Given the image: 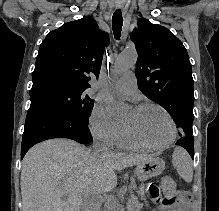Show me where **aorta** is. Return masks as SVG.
Listing matches in <instances>:
<instances>
[{
  "mask_svg": "<svg viewBox=\"0 0 219 211\" xmlns=\"http://www.w3.org/2000/svg\"><path fill=\"white\" fill-rule=\"evenodd\" d=\"M137 61V53L135 50L126 49L116 59L114 71L116 73H123L133 67ZM107 108L109 114L113 118H119L126 113L128 106L118 101L114 95L108 93ZM118 207V200L115 196L108 197L104 205V211H116Z\"/></svg>",
  "mask_w": 219,
  "mask_h": 211,
  "instance_id": "obj_1",
  "label": "aorta"
}]
</instances>
